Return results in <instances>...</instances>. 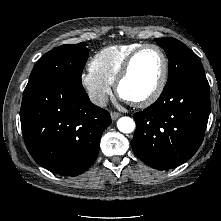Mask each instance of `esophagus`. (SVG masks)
Wrapping results in <instances>:
<instances>
[{
    "instance_id": "34e87169",
    "label": "esophagus",
    "mask_w": 221,
    "mask_h": 221,
    "mask_svg": "<svg viewBox=\"0 0 221 221\" xmlns=\"http://www.w3.org/2000/svg\"><path fill=\"white\" fill-rule=\"evenodd\" d=\"M110 116L112 120H116L117 118L121 116V114L118 112H111Z\"/></svg>"
}]
</instances>
